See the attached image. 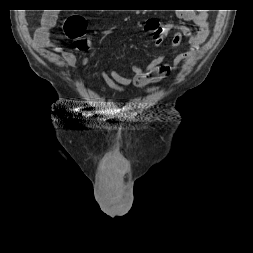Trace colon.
Wrapping results in <instances>:
<instances>
[{"label": "colon", "instance_id": "5ec220e1", "mask_svg": "<svg viewBox=\"0 0 253 253\" xmlns=\"http://www.w3.org/2000/svg\"><path fill=\"white\" fill-rule=\"evenodd\" d=\"M86 21L81 16L69 17L64 24L66 35L74 40V45L79 50L88 48V40L85 38Z\"/></svg>", "mask_w": 253, "mask_h": 253}]
</instances>
